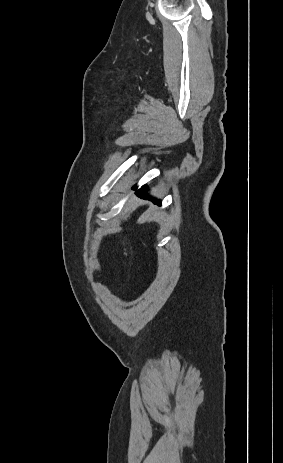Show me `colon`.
Returning <instances> with one entry per match:
<instances>
[{
  "instance_id": "1",
  "label": "colon",
  "mask_w": 283,
  "mask_h": 463,
  "mask_svg": "<svg viewBox=\"0 0 283 463\" xmlns=\"http://www.w3.org/2000/svg\"><path fill=\"white\" fill-rule=\"evenodd\" d=\"M122 249H123V257H124V260H125L127 258V249H126V246H125L124 242H122ZM124 267H125V262H124V265H123L122 275H124V273H125Z\"/></svg>"
}]
</instances>
